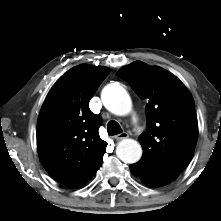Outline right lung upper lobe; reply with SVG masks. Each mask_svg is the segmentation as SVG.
I'll list each match as a JSON object with an SVG mask.
<instances>
[{
    "mask_svg": "<svg viewBox=\"0 0 221 221\" xmlns=\"http://www.w3.org/2000/svg\"><path fill=\"white\" fill-rule=\"evenodd\" d=\"M106 67L78 65L49 91L37 123L38 152L45 170L58 182L75 187L99 169L107 143L101 121L89 101L109 74Z\"/></svg>",
    "mask_w": 221,
    "mask_h": 221,
    "instance_id": "cb5924a9",
    "label": "right lung upper lobe"
}]
</instances>
